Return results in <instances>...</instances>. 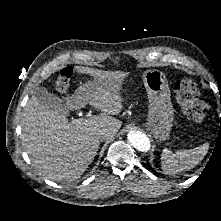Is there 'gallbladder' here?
<instances>
[{"mask_svg":"<svg viewBox=\"0 0 221 221\" xmlns=\"http://www.w3.org/2000/svg\"><path fill=\"white\" fill-rule=\"evenodd\" d=\"M33 95L37 98L38 102L46 108L63 114L68 113L67 107L64 102L58 96L49 92L46 87L35 88Z\"/></svg>","mask_w":221,"mask_h":221,"instance_id":"bac80fb5","label":"gallbladder"}]
</instances>
